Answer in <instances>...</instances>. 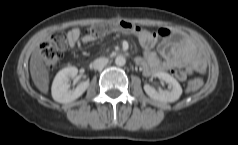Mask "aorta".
Returning <instances> with one entry per match:
<instances>
[{
  "label": "aorta",
  "mask_w": 238,
  "mask_h": 145,
  "mask_svg": "<svg viewBox=\"0 0 238 145\" xmlns=\"http://www.w3.org/2000/svg\"><path fill=\"white\" fill-rule=\"evenodd\" d=\"M125 63H126V59H125L124 56L119 55V56H117V57L115 58V64H116L117 66H124Z\"/></svg>",
  "instance_id": "aorta-1"
}]
</instances>
